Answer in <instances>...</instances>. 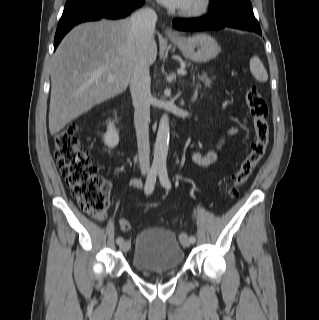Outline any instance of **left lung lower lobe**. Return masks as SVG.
Returning <instances> with one entry per match:
<instances>
[{"label":"left lung lower lobe","mask_w":319,"mask_h":320,"mask_svg":"<svg viewBox=\"0 0 319 320\" xmlns=\"http://www.w3.org/2000/svg\"><path fill=\"white\" fill-rule=\"evenodd\" d=\"M173 26L183 31L231 27L262 35L250 0H222L211 3L210 12L207 15L195 19H175Z\"/></svg>","instance_id":"obj_1"}]
</instances>
